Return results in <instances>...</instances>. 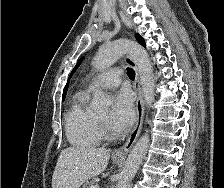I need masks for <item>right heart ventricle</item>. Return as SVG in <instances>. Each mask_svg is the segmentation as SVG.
I'll return each mask as SVG.
<instances>
[{
  "label": "right heart ventricle",
  "instance_id": "right-heart-ventricle-1",
  "mask_svg": "<svg viewBox=\"0 0 224 188\" xmlns=\"http://www.w3.org/2000/svg\"><path fill=\"white\" fill-rule=\"evenodd\" d=\"M88 91L76 94L65 115V130L69 142L79 148L97 146L101 141L96 116L88 109Z\"/></svg>",
  "mask_w": 224,
  "mask_h": 188
}]
</instances>
